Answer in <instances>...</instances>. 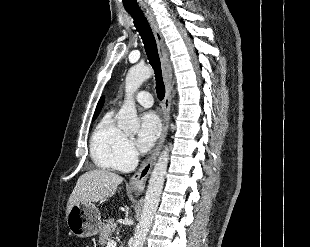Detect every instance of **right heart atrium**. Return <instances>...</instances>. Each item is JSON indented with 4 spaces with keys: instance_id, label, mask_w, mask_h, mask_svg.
<instances>
[{
    "instance_id": "1",
    "label": "right heart atrium",
    "mask_w": 310,
    "mask_h": 247,
    "mask_svg": "<svg viewBox=\"0 0 310 247\" xmlns=\"http://www.w3.org/2000/svg\"><path fill=\"white\" fill-rule=\"evenodd\" d=\"M136 157L137 151L134 145V141L132 138L126 137L120 150L118 169L125 170L130 168V166L136 160Z\"/></svg>"
}]
</instances>
